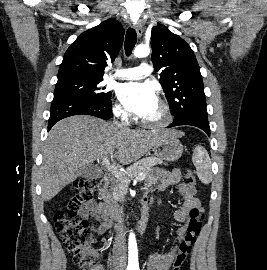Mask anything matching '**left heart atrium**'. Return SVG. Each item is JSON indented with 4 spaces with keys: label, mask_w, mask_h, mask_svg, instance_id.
<instances>
[{
    "label": "left heart atrium",
    "mask_w": 267,
    "mask_h": 270,
    "mask_svg": "<svg viewBox=\"0 0 267 270\" xmlns=\"http://www.w3.org/2000/svg\"><path fill=\"white\" fill-rule=\"evenodd\" d=\"M122 104L139 117H145L158 104L154 88L148 83L129 82L118 88Z\"/></svg>",
    "instance_id": "obj_1"
}]
</instances>
